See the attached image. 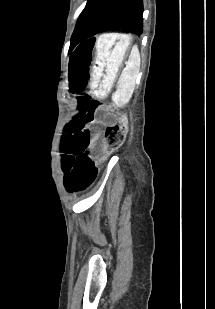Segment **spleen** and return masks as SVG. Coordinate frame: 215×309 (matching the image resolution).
Segmentation results:
<instances>
[{
	"mask_svg": "<svg viewBox=\"0 0 215 309\" xmlns=\"http://www.w3.org/2000/svg\"><path fill=\"white\" fill-rule=\"evenodd\" d=\"M140 68V52L138 50L137 44H134L128 64L126 68H124L119 80H118V88L112 96V100H114L117 106H125L127 102H129L135 88V80L136 76L139 72Z\"/></svg>",
	"mask_w": 215,
	"mask_h": 309,
	"instance_id": "1",
	"label": "spleen"
}]
</instances>
